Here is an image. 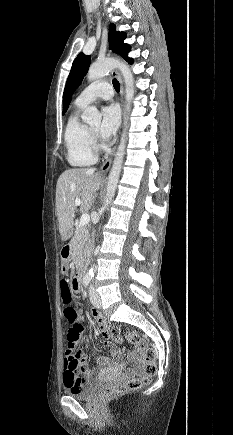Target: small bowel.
Returning a JSON list of instances; mask_svg holds the SVG:
<instances>
[{"mask_svg": "<svg viewBox=\"0 0 233 435\" xmlns=\"http://www.w3.org/2000/svg\"><path fill=\"white\" fill-rule=\"evenodd\" d=\"M80 287L81 282H79L77 279H74L71 282L63 280L60 282L59 285V296L60 298L65 299V297L70 295L72 291L78 292L80 290ZM92 317L98 322L99 332L105 340L107 349L114 358V361H111L107 357L99 356L97 357V369H88V357L85 353H65L63 361V384L66 388L70 390L76 389L82 384L93 381L97 375L109 374L113 371L122 370L123 368L119 349L109 341V326L104 321L102 313L98 310H94L92 312ZM69 324L71 325V328L67 333V343L76 346L77 340L80 338L81 333L84 329L80 314L78 313L76 319L73 322H69ZM128 354L130 355L131 359L136 363L135 367L131 370V372L140 373L142 371L141 349L139 347H135ZM79 373H83V376L80 378L77 377ZM76 379L80 380V384L77 385L75 383Z\"/></svg>", "mask_w": 233, "mask_h": 435, "instance_id": "1", "label": "small bowel"}]
</instances>
